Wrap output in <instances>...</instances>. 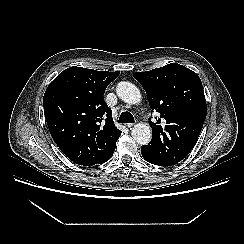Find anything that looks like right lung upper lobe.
<instances>
[{
  "label": "right lung upper lobe",
  "mask_w": 244,
  "mask_h": 244,
  "mask_svg": "<svg viewBox=\"0 0 244 244\" xmlns=\"http://www.w3.org/2000/svg\"><path fill=\"white\" fill-rule=\"evenodd\" d=\"M118 75L119 72L70 67L46 89L43 105L50 134L76 164H98L116 147L121 131L113 124L103 94Z\"/></svg>",
  "instance_id": "right-lung-upper-lobe-1"
}]
</instances>
